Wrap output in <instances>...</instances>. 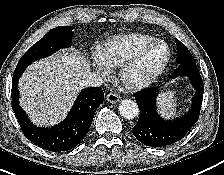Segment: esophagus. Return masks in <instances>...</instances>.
<instances>
[{
    "mask_svg": "<svg viewBox=\"0 0 224 175\" xmlns=\"http://www.w3.org/2000/svg\"><path fill=\"white\" fill-rule=\"evenodd\" d=\"M106 99L110 103H117L120 100V96L116 93H110L107 95Z\"/></svg>",
    "mask_w": 224,
    "mask_h": 175,
    "instance_id": "esophagus-1",
    "label": "esophagus"
}]
</instances>
